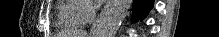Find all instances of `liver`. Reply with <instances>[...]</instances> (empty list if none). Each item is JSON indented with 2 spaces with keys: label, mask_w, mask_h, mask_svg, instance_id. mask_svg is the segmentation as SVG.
Masks as SVG:
<instances>
[{
  "label": "liver",
  "mask_w": 219,
  "mask_h": 37,
  "mask_svg": "<svg viewBox=\"0 0 219 37\" xmlns=\"http://www.w3.org/2000/svg\"><path fill=\"white\" fill-rule=\"evenodd\" d=\"M76 35H80L79 37H86V33H77Z\"/></svg>",
  "instance_id": "1"
}]
</instances>
